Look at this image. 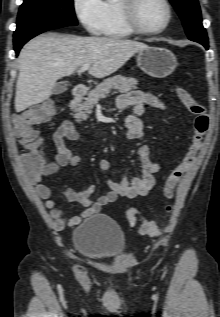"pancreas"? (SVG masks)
I'll list each match as a JSON object with an SVG mask.
<instances>
[{
	"label": "pancreas",
	"instance_id": "1",
	"mask_svg": "<svg viewBox=\"0 0 220 317\" xmlns=\"http://www.w3.org/2000/svg\"><path fill=\"white\" fill-rule=\"evenodd\" d=\"M137 80L134 78L116 75L104 80L98 84L95 89L90 91L85 101L75 105V117L80 121L85 119L92 112L93 107L101 100L104 99L111 91L128 92L137 88ZM117 91V92H116Z\"/></svg>",
	"mask_w": 220,
	"mask_h": 317
}]
</instances>
